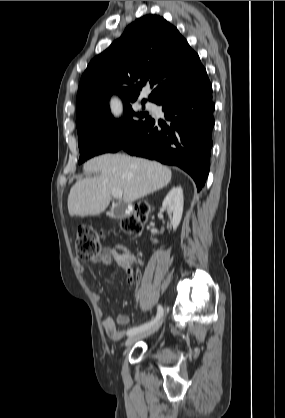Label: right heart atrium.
Masks as SVG:
<instances>
[{"mask_svg":"<svg viewBox=\"0 0 285 418\" xmlns=\"http://www.w3.org/2000/svg\"><path fill=\"white\" fill-rule=\"evenodd\" d=\"M114 141L118 142L120 140V136L119 135H115L114 137Z\"/></svg>","mask_w":285,"mask_h":418,"instance_id":"right-heart-atrium-1","label":"right heart atrium"}]
</instances>
